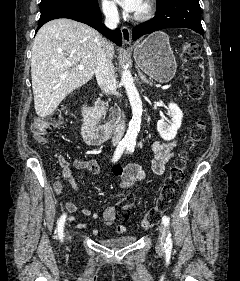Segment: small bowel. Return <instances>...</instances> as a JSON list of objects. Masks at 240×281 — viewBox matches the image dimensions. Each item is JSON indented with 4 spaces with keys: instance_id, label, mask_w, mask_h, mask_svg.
Here are the masks:
<instances>
[{
    "instance_id": "small-bowel-1",
    "label": "small bowel",
    "mask_w": 240,
    "mask_h": 281,
    "mask_svg": "<svg viewBox=\"0 0 240 281\" xmlns=\"http://www.w3.org/2000/svg\"><path fill=\"white\" fill-rule=\"evenodd\" d=\"M177 143V140H173L170 142H161L159 140H156L152 143L151 151L153 154V160L151 168L153 175L159 176L165 172L166 164L175 154ZM58 161L62 169L61 174L63 179L67 181L75 191H78L76 180L74 179L72 174L71 164L61 156L59 157ZM73 167L79 170H87L97 176H100L102 174V170L99 164L93 159L86 160L76 158L73 161ZM112 173L120 178L119 186L122 190H131L135 192L142 191L140 182L146 178V173L140 165L135 163L126 166L114 165L112 167ZM53 188L57 194H61L63 188L62 182L60 180H56L53 183ZM65 208L70 213L80 211L83 215L91 217L93 219H97L99 217L98 213L87 208H79L72 202L65 203ZM102 218L106 225H113L116 221L114 206L107 207L102 214ZM70 220L74 221L75 217H71ZM85 227L86 224L84 223L77 224V228L83 229ZM115 232L117 234L125 233L126 228L119 225L115 228ZM93 234L97 235L98 231L94 229Z\"/></svg>"
}]
</instances>
